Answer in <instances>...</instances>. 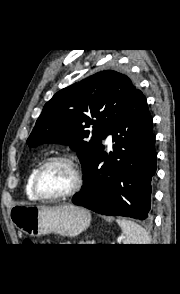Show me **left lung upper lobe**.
<instances>
[{"instance_id": "obj_1", "label": "left lung upper lobe", "mask_w": 180, "mask_h": 294, "mask_svg": "<svg viewBox=\"0 0 180 294\" xmlns=\"http://www.w3.org/2000/svg\"><path fill=\"white\" fill-rule=\"evenodd\" d=\"M138 91L127 75L114 70L101 71L74 83L45 104L27 144L30 147L43 143L69 145L78 153L84 178L102 146V139ZM91 124L92 132L87 130ZM89 137L91 140L86 141Z\"/></svg>"}]
</instances>
